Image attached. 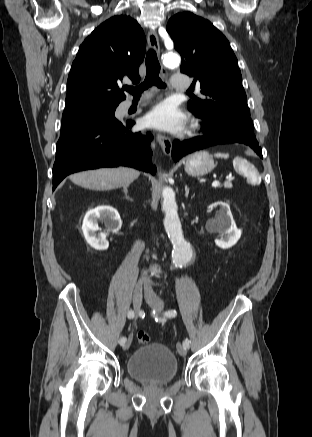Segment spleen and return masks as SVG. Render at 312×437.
<instances>
[{"instance_id": "3e777b00", "label": "spleen", "mask_w": 312, "mask_h": 437, "mask_svg": "<svg viewBox=\"0 0 312 437\" xmlns=\"http://www.w3.org/2000/svg\"><path fill=\"white\" fill-rule=\"evenodd\" d=\"M216 156H217V157L228 158L229 155H228V154H220V153H217ZM233 166H234V168H235V170H236L237 172H240V173H244V174H246V175L249 177L250 181H251L253 184H259V183L261 182L260 177L257 176L256 173H254V172L250 169V165H249V163L247 162V160H245V159H243V158H241V157H237V158H235L234 161H233Z\"/></svg>"}]
</instances>
